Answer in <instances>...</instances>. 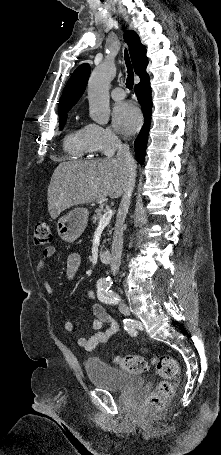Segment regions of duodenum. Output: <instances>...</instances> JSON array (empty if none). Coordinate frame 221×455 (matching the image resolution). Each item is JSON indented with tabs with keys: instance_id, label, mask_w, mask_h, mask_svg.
<instances>
[{
	"instance_id": "obj_1",
	"label": "duodenum",
	"mask_w": 221,
	"mask_h": 455,
	"mask_svg": "<svg viewBox=\"0 0 221 455\" xmlns=\"http://www.w3.org/2000/svg\"><path fill=\"white\" fill-rule=\"evenodd\" d=\"M99 257L101 261L105 264H110L112 261V253L109 249L100 250Z\"/></svg>"
}]
</instances>
